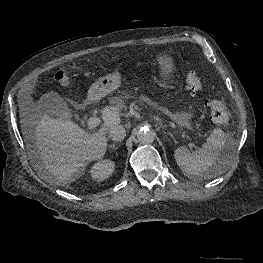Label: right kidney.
<instances>
[{
    "label": "right kidney",
    "mask_w": 263,
    "mask_h": 263,
    "mask_svg": "<svg viewBox=\"0 0 263 263\" xmlns=\"http://www.w3.org/2000/svg\"><path fill=\"white\" fill-rule=\"evenodd\" d=\"M114 166L115 164L111 160H101L92 166L90 175L95 180L103 181L113 173Z\"/></svg>",
    "instance_id": "right-kidney-1"
}]
</instances>
